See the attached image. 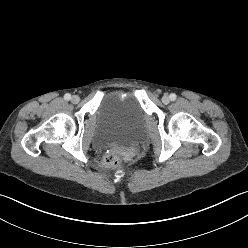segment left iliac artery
I'll use <instances>...</instances> for the list:
<instances>
[{
    "label": "left iliac artery",
    "mask_w": 248,
    "mask_h": 248,
    "mask_svg": "<svg viewBox=\"0 0 248 248\" xmlns=\"http://www.w3.org/2000/svg\"><path fill=\"white\" fill-rule=\"evenodd\" d=\"M176 97H177L176 94H174V93L170 94V100L171 101H175Z\"/></svg>",
    "instance_id": "44dca946"
}]
</instances>
